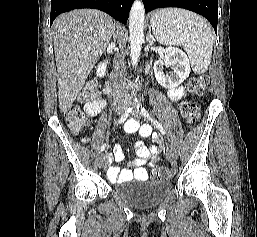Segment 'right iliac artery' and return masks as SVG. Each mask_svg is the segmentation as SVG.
Listing matches in <instances>:
<instances>
[{
  "instance_id": "1",
  "label": "right iliac artery",
  "mask_w": 257,
  "mask_h": 237,
  "mask_svg": "<svg viewBox=\"0 0 257 237\" xmlns=\"http://www.w3.org/2000/svg\"><path fill=\"white\" fill-rule=\"evenodd\" d=\"M132 111V107H129L125 112L124 114L120 117V119L118 120V123H123L129 116V114L131 113ZM106 148V143H104L102 146H101V152L104 151Z\"/></svg>"
}]
</instances>
